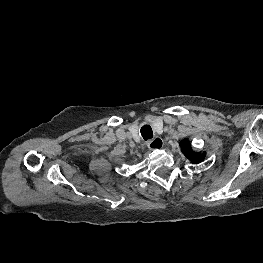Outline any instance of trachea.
Wrapping results in <instances>:
<instances>
[{"instance_id":"obj_1","label":"trachea","mask_w":263,"mask_h":263,"mask_svg":"<svg viewBox=\"0 0 263 263\" xmlns=\"http://www.w3.org/2000/svg\"><path fill=\"white\" fill-rule=\"evenodd\" d=\"M140 132L144 140H149L153 138V131L149 125L142 126Z\"/></svg>"}]
</instances>
